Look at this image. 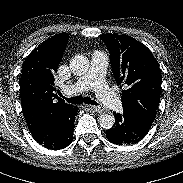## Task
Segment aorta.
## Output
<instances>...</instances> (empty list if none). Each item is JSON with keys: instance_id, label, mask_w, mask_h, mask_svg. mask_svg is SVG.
Returning <instances> with one entry per match:
<instances>
[{"instance_id": "1", "label": "aorta", "mask_w": 183, "mask_h": 183, "mask_svg": "<svg viewBox=\"0 0 183 183\" xmlns=\"http://www.w3.org/2000/svg\"><path fill=\"white\" fill-rule=\"evenodd\" d=\"M89 69V60L83 55H75L70 60V70L74 75L82 76ZM115 123V117L112 114L103 113L99 117V124L104 129H110Z\"/></svg>"}]
</instances>
